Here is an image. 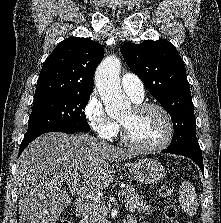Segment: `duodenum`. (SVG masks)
Wrapping results in <instances>:
<instances>
[{
  "instance_id": "duodenum-1",
  "label": "duodenum",
  "mask_w": 221,
  "mask_h": 223,
  "mask_svg": "<svg viewBox=\"0 0 221 223\" xmlns=\"http://www.w3.org/2000/svg\"><path fill=\"white\" fill-rule=\"evenodd\" d=\"M88 212V204L84 201H78L76 206V214L79 219H83Z\"/></svg>"
}]
</instances>
